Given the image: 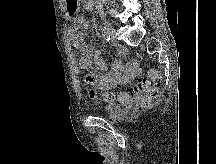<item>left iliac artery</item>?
<instances>
[{
  "label": "left iliac artery",
  "mask_w": 216,
  "mask_h": 164,
  "mask_svg": "<svg viewBox=\"0 0 216 164\" xmlns=\"http://www.w3.org/2000/svg\"><path fill=\"white\" fill-rule=\"evenodd\" d=\"M102 35L104 36L105 40L106 41H110V35H109V32H108V27L107 26H104L102 28Z\"/></svg>",
  "instance_id": "obj_1"
}]
</instances>
